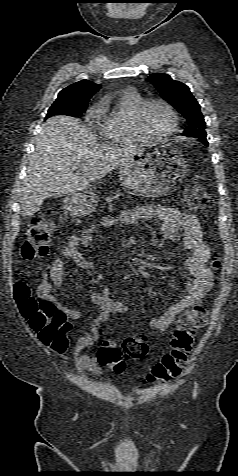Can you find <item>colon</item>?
Returning a JSON list of instances; mask_svg holds the SVG:
<instances>
[{
  "mask_svg": "<svg viewBox=\"0 0 238 476\" xmlns=\"http://www.w3.org/2000/svg\"><path fill=\"white\" fill-rule=\"evenodd\" d=\"M184 200L186 206L193 211L205 212L212 207V199L196 183L187 185ZM50 235L51 225L41 217L33 218L28 224L26 240L21 247L22 257L32 260L46 256ZM212 265L218 268L219 260L214 258ZM14 294L22 316L28 321L40 341L55 352L65 353L69 344L70 330V324L65 315L53 304L34 298L29 287L23 282L15 285ZM207 325L208 312L205 307L196 305L184 313L178 319L174 329L170 351L152 367L146 375V380L154 383L179 376L192 350L196 334ZM148 350L146 337L126 338L121 348L104 341L99 345L97 359L102 366L120 373L125 367L124 355L132 359H142L147 355Z\"/></svg>",
  "mask_w": 238,
  "mask_h": 476,
  "instance_id": "1",
  "label": "colon"
}]
</instances>
